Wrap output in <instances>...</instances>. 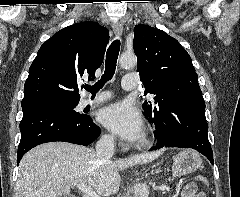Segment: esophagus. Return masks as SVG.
Here are the masks:
<instances>
[{
	"label": "esophagus",
	"mask_w": 240,
	"mask_h": 197,
	"mask_svg": "<svg viewBox=\"0 0 240 197\" xmlns=\"http://www.w3.org/2000/svg\"><path fill=\"white\" fill-rule=\"evenodd\" d=\"M112 28H113V32H114V34H115V36L116 37H120L121 35H122V33H123V27H122V25H121V23L120 22H114L113 24H112Z\"/></svg>",
	"instance_id": "34e87169"
}]
</instances>
